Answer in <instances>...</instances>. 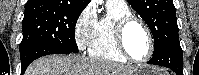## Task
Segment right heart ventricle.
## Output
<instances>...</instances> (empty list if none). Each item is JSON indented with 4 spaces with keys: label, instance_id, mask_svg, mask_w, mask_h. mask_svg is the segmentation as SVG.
Wrapping results in <instances>:
<instances>
[{
    "label": "right heart ventricle",
    "instance_id": "right-heart-ventricle-1",
    "mask_svg": "<svg viewBox=\"0 0 199 75\" xmlns=\"http://www.w3.org/2000/svg\"><path fill=\"white\" fill-rule=\"evenodd\" d=\"M131 15L128 7L108 6V15L98 21V27L88 51L89 55L115 63H126L127 59L116 46L113 27L122 17Z\"/></svg>",
    "mask_w": 199,
    "mask_h": 75
}]
</instances>
